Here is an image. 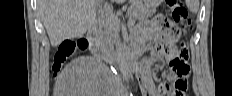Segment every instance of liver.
<instances>
[{
    "label": "liver",
    "instance_id": "1",
    "mask_svg": "<svg viewBox=\"0 0 232 96\" xmlns=\"http://www.w3.org/2000/svg\"><path fill=\"white\" fill-rule=\"evenodd\" d=\"M38 12L54 47L83 36L97 18L96 0H38Z\"/></svg>",
    "mask_w": 232,
    "mask_h": 96
}]
</instances>
